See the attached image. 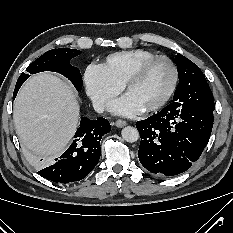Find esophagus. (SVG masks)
Wrapping results in <instances>:
<instances>
[{"label": "esophagus", "instance_id": "1", "mask_svg": "<svg viewBox=\"0 0 233 233\" xmlns=\"http://www.w3.org/2000/svg\"><path fill=\"white\" fill-rule=\"evenodd\" d=\"M115 125H116V127H118V128H122V127H124V126L127 125V122L124 121V120H117V121L115 122Z\"/></svg>", "mask_w": 233, "mask_h": 233}]
</instances>
